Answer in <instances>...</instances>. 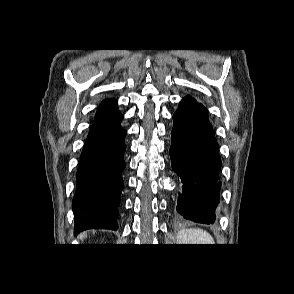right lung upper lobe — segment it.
Listing matches in <instances>:
<instances>
[{
    "label": "right lung upper lobe",
    "instance_id": "right-lung-upper-lobe-1",
    "mask_svg": "<svg viewBox=\"0 0 294 294\" xmlns=\"http://www.w3.org/2000/svg\"><path fill=\"white\" fill-rule=\"evenodd\" d=\"M111 100L110 99H106V100H104L103 102H110Z\"/></svg>",
    "mask_w": 294,
    "mask_h": 294
}]
</instances>
